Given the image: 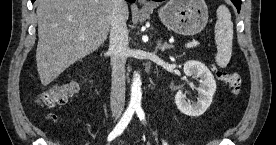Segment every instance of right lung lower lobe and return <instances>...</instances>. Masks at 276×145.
I'll list each match as a JSON object with an SVG mask.
<instances>
[{
    "label": "right lung lower lobe",
    "mask_w": 276,
    "mask_h": 145,
    "mask_svg": "<svg viewBox=\"0 0 276 145\" xmlns=\"http://www.w3.org/2000/svg\"><path fill=\"white\" fill-rule=\"evenodd\" d=\"M35 0H32V3L34 2ZM126 1H128V2H130V3H133L135 0H126Z\"/></svg>",
    "instance_id": "obj_1"
}]
</instances>
